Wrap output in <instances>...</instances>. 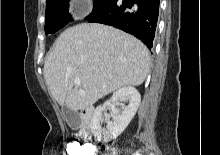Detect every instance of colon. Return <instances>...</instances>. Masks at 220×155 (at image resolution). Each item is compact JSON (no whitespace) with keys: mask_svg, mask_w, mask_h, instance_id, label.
I'll return each instance as SVG.
<instances>
[{"mask_svg":"<svg viewBox=\"0 0 220 155\" xmlns=\"http://www.w3.org/2000/svg\"><path fill=\"white\" fill-rule=\"evenodd\" d=\"M70 155H93V143H81L79 140H71L68 143Z\"/></svg>","mask_w":220,"mask_h":155,"instance_id":"1","label":"colon"}]
</instances>
